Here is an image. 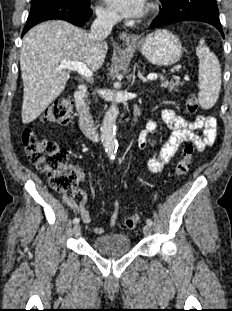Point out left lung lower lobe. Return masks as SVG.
I'll use <instances>...</instances> for the list:
<instances>
[{
  "instance_id": "obj_1",
  "label": "left lung lower lobe",
  "mask_w": 232,
  "mask_h": 311,
  "mask_svg": "<svg viewBox=\"0 0 232 311\" xmlns=\"http://www.w3.org/2000/svg\"><path fill=\"white\" fill-rule=\"evenodd\" d=\"M162 8L151 28L181 22L200 21L213 25L224 36L215 0H160Z\"/></svg>"
}]
</instances>
